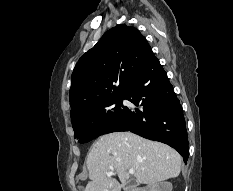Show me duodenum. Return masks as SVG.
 <instances>
[{"instance_id": "duodenum-1", "label": "duodenum", "mask_w": 233, "mask_h": 191, "mask_svg": "<svg viewBox=\"0 0 233 191\" xmlns=\"http://www.w3.org/2000/svg\"><path fill=\"white\" fill-rule=\"evenodd\" d=\"M132 191H141L140 189H133Z\"/></svg>"}]
</instances>
